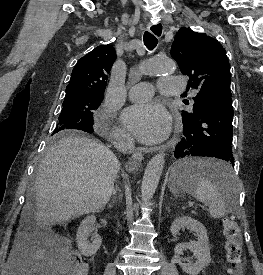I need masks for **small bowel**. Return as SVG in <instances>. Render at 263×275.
I'll return each mask as SVG.
<instances>
[{"label": "small bowel", "mask_w": 263, "mask_h": 275, "mask_svg": "<svg viewBox=\"0 0 263 275\" xmlns=\"http://www.w3.org/2000/svg\"><path fill=\"white\" fill-rule=\"evenodd\" d=\"M27 275H60L63 270V259L59 248L51 241L37 247L24 260Z\"/></svg>", "instance_id": "1"}]
</instances>
